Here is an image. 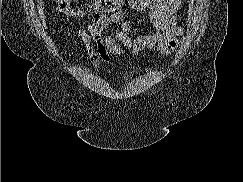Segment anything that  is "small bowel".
<instances>
[{"instance_id":"small-bowel-1","label":"small bowel","mask_w":243,"mask_h":182,"mask_svg":"<svg viewBox=\"0 0 243 182\" xmlns=\"http://www.w3.org/2000/svg\"><path fill=\"white\" fill-rule=\"evenodd\" d=\"M135 11H148L154 31L132 38L130 19L122 11L109 14L95 13L78 30V38L91 64L99 67L111 61V56H124L126 50L137 55L144 50L160 55L173 52L183 28L178 21L182 0H128ZM114 29V32L111 31Z\"/></svg>"}]
</instances>
